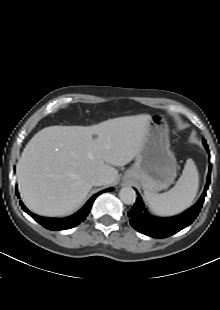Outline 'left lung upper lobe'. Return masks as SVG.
Instances as JSON below:
<instances>
[{
	"mask_svg": "<svg viewBox=\"0 0 220 310\" xmlns=\"http://www.w3.org/2000/svg\"><path fill=\"white\" fill-rule=\"evenodd\" d=\"M203 143H204V145L206 144V141L205 140H203Z\"/></svg>",
	"mask_w": 220,
	"mask_h": 310,
	"instance_id": "1",
	"label": "left lung upper lobe"
}]
</instances>
